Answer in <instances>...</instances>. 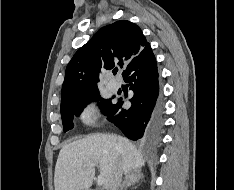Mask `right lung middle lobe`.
I'll list each match as a JSON object with an SVG mask.
<instances>
[{
	"label": "right lung middle lobe",
	"instance_id": "obj_1",
	"mask_svg": "<svg viewBox=\"0 0 234 190\" xmlns=\"http://www.w3.org/2000/svg\"><path fill=\"white\" fill-rule=\"evenodd\" d=\"M95 99H100L99 90L91 91L85 93L71 101L61 104V117L63 122L64 132L73 128V117L79 116L83 108L91 101ZM102 107L104 112L109 115V113L114 108V104L111 103V100H103Z\"/></svg>",
	"mask_w": 234,
	"mask_h": 190
}]
</instances>
